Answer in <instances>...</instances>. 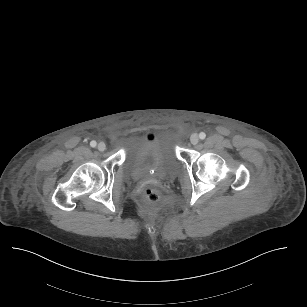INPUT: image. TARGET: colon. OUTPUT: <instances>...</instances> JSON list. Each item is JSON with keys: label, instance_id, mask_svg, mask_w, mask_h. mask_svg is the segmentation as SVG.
I'll return each instance as SVG.
<instances>
[{"label": "colon", "instance_id": "obj_1", "mask_svg": "<svg viewBox=\"0 0 307 307\" xmlns=\"http://www.w3.org/2000/svg\"><path fill=\"white\" fill-rule=\"evenodd\" d=\"M148 139L153 140L155 135L153 133H148L146 136ZM162 198V191L160 188L155 186H148L145 188L142 194V201L146 205H153L160 201Z\"/></svg>", "mask_w": 307, "mask_h": 307}]
</instances>
